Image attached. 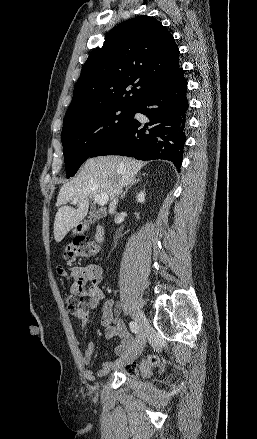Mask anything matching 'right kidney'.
<instances>
[{"label":"right kidney","instance_id":"obj_1","mask_svg":"<svg viewBox=\"0 0 257 439\" xmlns=\"http://www.w3.org/2000/svg\"><path fill=\"white\" fill-rule=\"evenodd\" d=\"M137 201L140 203H143L145 201V194L144 191H141L138 195H137Z\"/></svg>","mask_w":257,"mask_h":439}]
</instances>
